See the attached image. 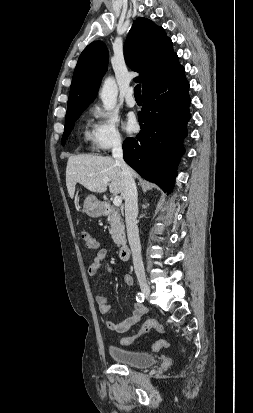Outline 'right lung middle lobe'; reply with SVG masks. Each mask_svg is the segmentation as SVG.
I'll return each mask as SVG.
<instances>
[{"instance_id": "right-lung-middle-lobe-1", "label": "right lung middle lobe", "mask_w": 253, "mask_h": 413, "mask_svg": "<svg viewBox=\"0 0 253 413\" xmlns=\"http://www.w3.org/2000/svg\"><path fill=\"white\" fill-rule=\"evenodd\" d=\"M80 115H81V113L65 119V128H64V133H63V136H62V145L65 144V140L67 139V137L69 136L71 130L74 127V122L79 118Z\"/></svg>"}]
</instances>
